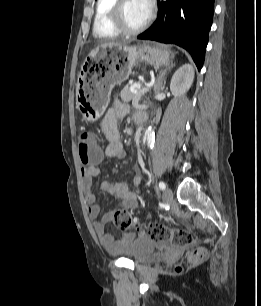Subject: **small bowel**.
<instances>
[{
  "label": "small bowel",
  "mask_w": 261,
  "mask_h": 306,
  "mask_svg": "<svg viewBox=\"0 0 261 306\" xmlns=\"http://www.w3.org/2000/svg\"><path fill=\"white\" fill-rule=\"evenodd\" d=\"M130 107L127 103L116 100L113 106L106 112L101 121V130L107 140L101 159L98 162L90 163L82 168V183L84 189L87 210L90 219L93 221V229L101 244L110 252L119 254L130 249L137 241L132 233H125L119 240L105 231L106 224L111 221L113 211L106 212L100 220V206L96 201V195L93 190V178L101 173L98 166L103 157L121 160L126 156L118 123L129 113ZM135 176L133 184H140L141 164L137 163L134 167ZM101 189L111 195H114L121 201V206L128 210H134L138 207V191L130 189L129 184L124 181L105 180L101 183Z\"/></svg>",
  "instance_id": "small-bowel-1"
}]
</instances>
